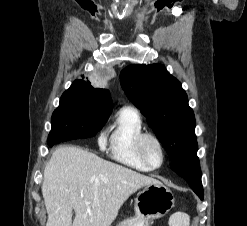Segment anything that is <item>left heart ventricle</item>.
I'll list each match as a JSON object with an SVG mask.
<instances>
[{
  "label": "left heart ventricle",
  "mask_w": 247,
  "mask_h": 226,
  "mask_svg": "<svg viewBox=\"0 0 247 226\" xmlns=\"http://www.w3.org/2000/svg\"><path fill=\"white\" fill-rule=\"evenodd\" d=\"M144 148H145L146 156L149 159V161L153 165H158L161 161V154L157 144L153 140L148 139L145 142Z\"/></svg>",
  "instance_id": "left-heart-ventricle-1"
}]
</instances>
